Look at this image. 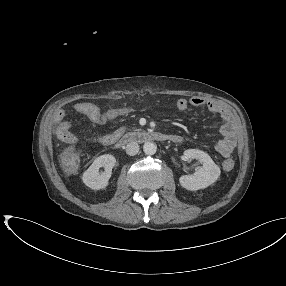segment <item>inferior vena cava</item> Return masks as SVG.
<instances>
[{"label":"inferior vena cava","instance_id":"602c4592","mask_svg":"<svg viewBox=\"0 0 286 286\" xmlns=\"http://www.w3.org/2000/svg\"><path fill=\"white\" fill-rule=\"evenodd\" d=\"M139 152V145L138 143L132 141L127 144L126 146V153L130 156H134Z\"/></svg>","mask_w":286,"mask_h":286}]
</instances>
